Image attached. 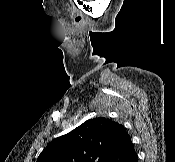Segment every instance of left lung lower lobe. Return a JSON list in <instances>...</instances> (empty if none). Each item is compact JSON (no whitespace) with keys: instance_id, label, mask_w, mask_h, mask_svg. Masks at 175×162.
Here are the masks:
<instances>
[{"instance_id":"obj_1","label":"left lung lower lobe","mask_w":175,"mask_h":162,"mask_svg":"<svg viewBox=\"0 0 175 162\" xmlns=\"http://www.w3.org/2000/svg\"><path fill=\"white\" fill-rule=\"evenodd\" d=\"M107 162H138L130 136H127L115 148Z\"/></svg>"}]
</instances>
